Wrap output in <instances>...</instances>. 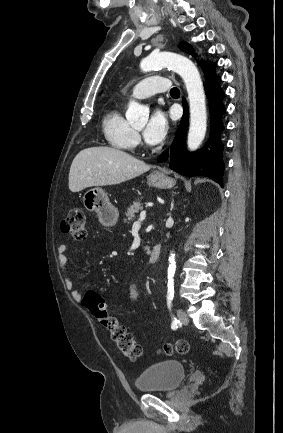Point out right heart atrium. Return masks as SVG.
Segmentation results:
<instances>
[{
    "instance_id": "d8ad5b80",
    "label": "right heart atrium",
    "mask_w": 283,
    "mask_h": 433,
    "mask_svg": "<svg viewBox=\"0 0 283 433\" xmlns=\"http://www.w3.org/2000/svg\"><path fill=\"white\" fill-rule=\"evenodd\" d=\"M139 142V136L137 133H135L133 139H132V144H137Z\"/></svg>"
}]
</instances>
